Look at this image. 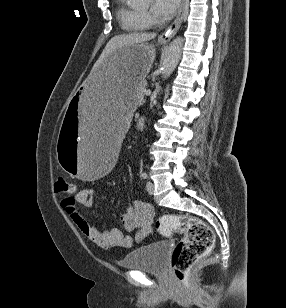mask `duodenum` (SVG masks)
Returning <instances> with one entry per match:
<instances>
[{
	"label": "duodenum",
	"instance_id": "duodenum-1",
	"mask_svg": "<svg viewBox=\"0 0 286 308\" xmlns=\"http://www.w3.org/2000/svg\"><path fill=\"white\" fill-rule=\"evenodd\" d=\"M145 123V119L144 118H140L137 122V128L142 129Z\"/></svg>",
	"mask_w": 286,
	"mask_h": 308
}]
</instances>
